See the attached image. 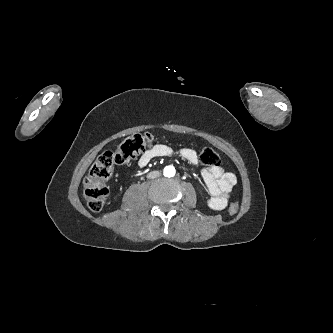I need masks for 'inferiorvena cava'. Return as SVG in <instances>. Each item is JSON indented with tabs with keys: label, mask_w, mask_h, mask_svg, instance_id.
<instances>
[{
	"label": "inferior vena cava",
	"mask_w": 333,
	"mask_h": 333,
	"mask_svg": "<svg viewBox=\"0 0 333 333\" xmlns=\"http://www.w3.org/2000/svg\"><path fill=\"white\" fill-rule=\"evenodd\" d=\"M160 176V172L159 171H152L150 173H148L147 178L149 179H154Z\"/></svg>",
	"instance_id": "obj_1"
}]
</instances>
